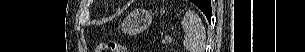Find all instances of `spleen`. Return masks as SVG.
Masks as SVG:
<instances>
[{"mask_svg": "<svg viewBox=\"0 0 305 52\" xmlns=\"http://www.w3.org/2000/svg\"><path fill=\"white\" fill-rule=\"evenodd\" d=\"M184 30L183 45L188 52H204L206 30L194 11H187L181 22Z\"/></svg>", "mask_w": 305, "mask_h": 52, "instance_id": "obj_1", "label": "spleen"}]
</instances>
